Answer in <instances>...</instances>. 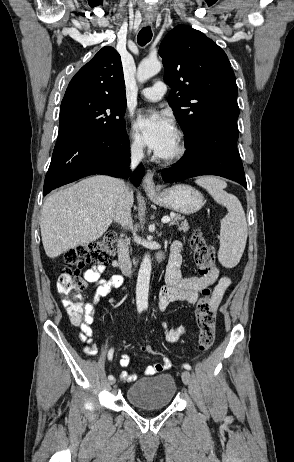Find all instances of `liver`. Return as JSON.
Returning a JSON list of instances; mask_svg holds the SVG:
<instances>
[{
	"label": "liver",
	"mask_w": 294,
	"mask_h": 462,
	"mask_svg": "<svg viewBox=\"0 0 294 462\" xmlns=\"http://www.w3.org/2000/svg\"><path fill=\"white\" fill-rule=\"evenodd\" d=\"M123 188L120 179L95 175L50 195L40 220L46 255L55 258L100 238L112 223Z\"/></svg>",
	"instance_id": "6515ba94"
}]
</instances>
